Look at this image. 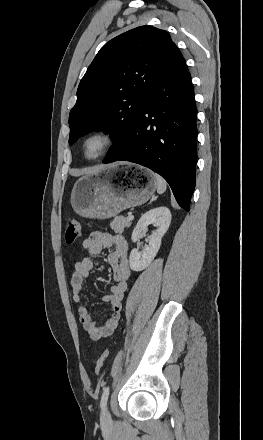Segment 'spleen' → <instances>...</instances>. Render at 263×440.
I'll use <instances>...</instances> for the list:
<instances>
[{"label": "spleen", "instance_id": "obj_1", "mask_svg": "<svg viewBox=\"0 0 263 440\" xmlns=\"http://www.w3.org/2000/svg\"><path fill=\"white\" fill-rule=\"evenodd\" d=\"M154 177L156 180V189L157 192L159 194H162L166 191L167 188V183L166 181L163 179V177H161L160 175H158L157 173H154Z\"/></svg>", "mask_w": 263, "mask_h": 440}]
</instances>
